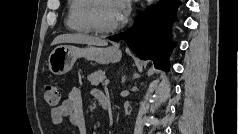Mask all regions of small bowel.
<instances>
[{
  "label": "small bowel",
  "instance_id": "1",
  "mask_svg": "<svg viewBox=\"0 0 239 134\" xmlns=\"http://www.w3.org/2000/svg\"><path fill=\"white\" fill-rule=\"evenodd\" d=\"M91 93L99 101L101 95L104 94L96 89ZM50 117L53 125H60L64 118H68L79 134H87L81 92L77 88L70 90L63 102L51 110Z\"/></svg>",
  "mask_w": 239,
  "mask_h": 134
}]
</instances>
